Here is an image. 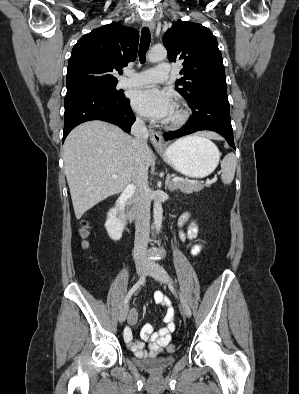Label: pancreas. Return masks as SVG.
Wrapping results in <instances>:
<instances>
[{"label":"pancreas","instance_id":"obj_1","mask_svg":"<svg viewBox=\"0 0 299 394\" xmlns=\"http://www.w3.org/2000/svg\"><path fill=\"white\" fill-rule=\"evenodd\" d=\"M174 189H179L181 192L186 194H191L192 192H199L203 189L204 186H209V184H201V183H186V182H175ZM135 211V208L131 209V213Z\"/></svg>","mask_w":299,"mask_h":394}]
</instances>
